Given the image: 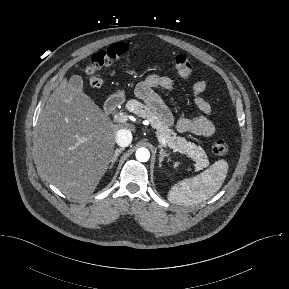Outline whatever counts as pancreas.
<instances>
[{
	"label": "pancreas",
	"instance_id": "obj_1",
	"mask_svg": "<svg viewBox=\"0 0 289 289\" xmlns=\"http://www.w3.org/2000/svg\"><path fill=\"white\" fill-rule=\"evenodd\" d=\"M126 109L132 111L139 117L151 122L152 126L157 130L166 141V146L173 149L175 152L186 154L194 162L195 171L207 167L209 161L205 151L194 143L187 141L184 137L177 136L174 130L170 129L157 115L144 104L129 100L126 104Z\"/></svg>",
	"mask_w": 289,
	"mask_h": 289
}]
</instances>
